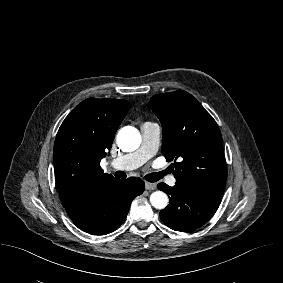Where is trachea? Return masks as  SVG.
Returning a JSON list of instances; mask_svg holds the SVG:
<instances>
[{
	"label": "trachea",
	"instance_id": "1",
	"mask_svg": "<svg viewBox=\"0 0 283 283\" xmlns=\"http://www.w3.org/2000/svg\"><path fill=\"white\" fill-rule=\"evenodd\" d=\"M166 173V171L150 173L145 176V179L149 182H156L160 180ZM115 176L118 178H126V174L123 171H117Z\"/></svg>",
	"mask_w": 283,
	"mask_h": 283
}]
</instances>
